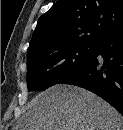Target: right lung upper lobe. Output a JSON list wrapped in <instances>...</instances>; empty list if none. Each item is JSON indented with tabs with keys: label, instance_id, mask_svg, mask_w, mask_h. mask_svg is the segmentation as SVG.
I'll return each instance as SVG.
<instances>
[{
	"label": "right lung upper lobe",
	"instance_id": "1",
	"mask_svg": "<svg viewBox=\"0 0 123 130\" xmlns=\"http://www.w3.org/2000/svg\"><path fill=\"white\" fill-rule=\"evenodd\" d=\"M122 25L123 0H58L39 18L27 61L73 45H95Z\"/></svg>",
	"mask_w": 123,
	"mask_h": 130
}]
</instances>
